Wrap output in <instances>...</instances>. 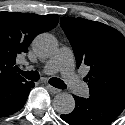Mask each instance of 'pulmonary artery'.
<instances>
[{
  "instance_id": "obj_1",
  "label": "pulmonary artery",
  "mask_w": 125,
  "mask_h": 125,
  "mask_svg": "<svg viewBox=\"0 0 125 125\" xmlns=\"http://www.w3.org/2000/svg\"><path fill=\"white\" fill-rule=\"evenodd\" d=\"M45 74L61 72L67 86L78 95H85L87 87L74 74V55L71 48L63 46L50 58L43 68Z\"/></svg>"
}]
</instances>
